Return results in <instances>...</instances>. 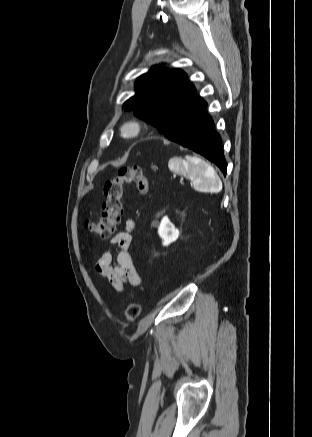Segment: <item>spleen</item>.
<instances>
[{
	"instance_id": "3e777b00",
	"label": "spleen",
	"mask_w": 312,
	"mask_h": 437,
	"mask_svg": "<svg viewBox=\"0 0 312 437\" xmlns=\"http://www.w3.org/2000/svg\"><path fill=\"white\" fill-rule=\"evenodd\" d=\"M170 170L187 176L193 185L202 191L218 193L222 189V182L215 169L195 156H186L185 159L173 157L168 162Z\"/></svg>"
}]
</instances>
